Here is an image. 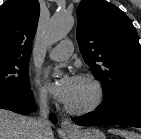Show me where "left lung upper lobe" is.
I'll return each instance as SVG.
<instances>
[{"label": "left lung upper lobe", "instance_id": "obj_1", "mask_svg": "<svg viewBox=\"0 0 141 139\" xmlns=\"http://www.w3.org/2000/svg\"><path fill=\"white\" fill-rule=\"evenodd\" d=\"M77 18L80 51L102 82L104 100L141 88V46L131 20L103 0H83Z\"/></svg>", "mask_w": 141, "mask_h": 139}]
</instances>
